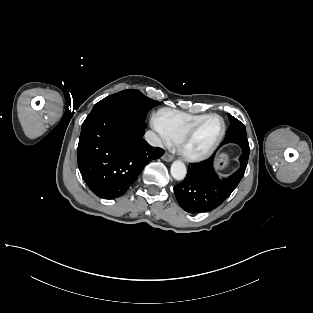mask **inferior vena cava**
I'll list each match as a JSON object with an SVG mask.
<instances>
[{
  "mask_svg": "<svg viewBox=\"0 0 313 313\" xmlns=\"http://www.w3.org/2000/svg\"><path fill=\"white\" fill-rule=\"evenodd\" d=\"M145 140L151 145L155 147H162L161 139L153 132L147 131L145 133Z\"/></svg>",
  "mask_w": 313,
  "mask_h": 313,
  "instance_id": "inferior-vena-cava-1",
  "label": "inferior vena cava"
}]
</instances>
